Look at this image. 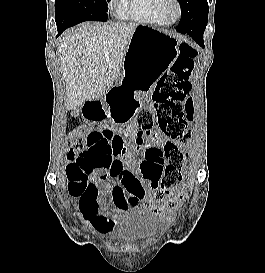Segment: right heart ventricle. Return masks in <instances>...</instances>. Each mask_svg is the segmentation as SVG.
Listing matches in <instances>:
<instances>
[{
    "mask_svg": "<svg viewBox=\"0 0 265 273\" xmlns=\"http://www.w3.org/2000/svg\"><path fill=\"white\" fill-rule=\"evenodd\" d=\"M163 0H120L118 15L154 26H168L171 22L162 13Z\"/></svg>",
    "mask_w": 265,
    "mask_h": 273,
    "instance_id": "obj_1",
    "label": "right heart ventricle"
}]
</instances>
